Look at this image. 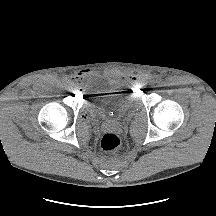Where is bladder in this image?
Returning a JSON list of instances; mask_svg holds the SVG:
<instances>
[{"mask_svg": "<svg viewBox=\"0 0 216 216\" xmlns=\"http://www.w3.org/2000/svg\"><path fill=\"white\" fill-rule=\"evenodd\" d=\"M91 109L104 118L112 119L119 115H127L136 108V98L128 93L108 91L105 87L97 86L88 95Z\"/></svg>", "mask_w": 216, "mask_h": 216, "instance_id": "31cf9c89", "label": "bladder"}]
</instances>
